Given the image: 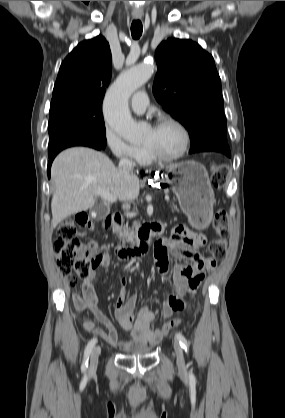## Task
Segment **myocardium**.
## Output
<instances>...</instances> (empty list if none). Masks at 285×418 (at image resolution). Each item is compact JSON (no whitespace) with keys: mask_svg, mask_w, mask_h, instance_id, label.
Instances as JSON below:
<instances>
[{"mask_svg":"<svg viewBox=\"0 0 285 418\" xmlns=\"http://www.w3.org/2000/svg\"><path fill=\"white\" fill-rule=\"evenodd\" d=\"M164 125H173L176 128H178L179 131L181 132L182 137H183V142H182V146H181L180 150L174 155L163 156V155L157 153L156 151H154L149 146H145L144 148H145L146 154L152 160L159 161V162H172V161H175V160H178V159L182 158L187 153L189 145H190V134H189L187 128L184 126L183 123H181L180 121H178L177 119L172 118V117L161 118L160 120H158L155 123L154 128H159V127L164 126Z\"/></svg>","mask_w":285,"mask_h":418,"instance_id":"myocardium-1","label":"myocardium"}]
</instances>
